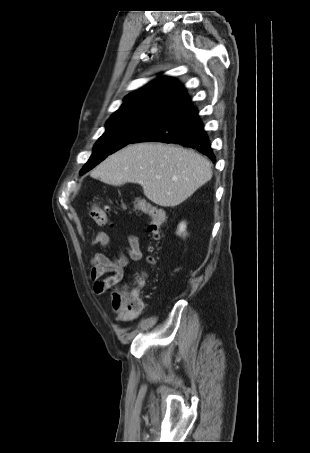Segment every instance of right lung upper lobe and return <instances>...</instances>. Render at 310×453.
Here are the masks:
<instances>
[{"label":"right lung upper lobe","instance_id":"obj_1","mask_svg":"<svg viewBox=\"0 0 310 453\" xmlns=\"http://www.w3.org/2000/svg\"><path fill=\"white\" fill-rule=\"evenodd\" d=\"M187 96L185 87L178 80L161 76L138 91L129 93L112 116L159 117Z\"/></svg>","mask_w":310,"mask_h":453}]
</instances>
